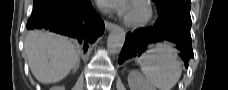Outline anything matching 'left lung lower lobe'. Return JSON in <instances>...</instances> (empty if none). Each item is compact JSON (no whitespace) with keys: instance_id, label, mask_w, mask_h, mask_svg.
<instances>
[{"instance_id":"left-lung-lower-lobe-1","label":"left lung lower lobe","mask_w":228,"mask_h":90,"mask_svg":"<svg viewBox=\"0 0 228 90\" xmlns=\"http://www.w3.org/2000/svg\"><path fill=\"white\" fill-rule=\"evenodd\" d=\"M183 16L158 14V20L153 27L141 28L127 33L119 57V64L134 56L135 53L143 52L150 43L169 40L179 46L180 56L185 66L188 67V61L194 57L190 35L191 17L190 14L186 13Z\"/></svg>"}]
</instances>
